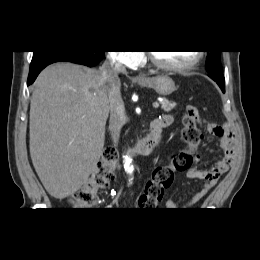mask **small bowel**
<instances>
[{
  "label": "small bowel",
  "mask_w": 260,
  "mask_h": 260,
  "mask_svg": "<svg viewBox=\"0 0 260 260\" xmlns=\"http://www.w3.org/2000/svg\"><path fill=\"white\" fill-rule=\"evenodd\" d=\"M160 119L165 122L166 127L173 122V117L169 114L163 115ZM196 124H203L208 133L219 138L220 146L224 151V156L221 160L215 163L211 169H200L197 166V163L200 161V156H195L194 164L187 170L186 176L190 179L204 180L205 183L202 188L191 197L187 204L182 207L184 209L191 208L199 200L206 196L209 191L215 187L221 176L231 168L236 157L237 134L232 125L216 124L213 122L204 121L201 119L199 113L196 116ZM139 206L141 208H153L156 205L150 203L149 200L142 195L139 199ZM164 207L167 210L180 209L178 204L172 199L166 200Z\"/></svg>",
  "instance_id": "c3829d8e"
}]
</instances>
